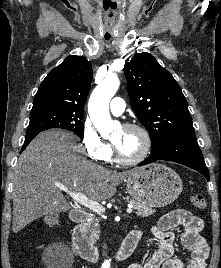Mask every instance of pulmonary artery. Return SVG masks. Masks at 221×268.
<instances>
[{
    "label": "pulmonary artery",
    "mask_w": 221,
    "mask_h": 268,
    "mask_svg": "<svg viewBox=\"0 0 221 268\" xmlns=\"http://www.w3.org/2000/svg\"><path fill=\"white\" fill-rule=\"evenodd\" d=\"M125 110V102L120 97H115L110 102V111L113 115L119 116Z\"/></svg>",
    "instance_id": "1"
}]
</instances>
